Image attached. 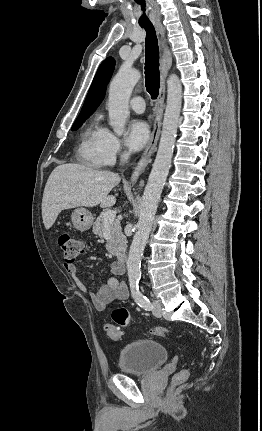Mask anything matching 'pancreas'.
Here are the masks:
<instances>
[{
  "mask_svg": "<svg viewBox=\"0 0 262 431\" xmlns=\"http://www.w3.org/2000/svg\"><path fill=\"white\" fill-rule=\"evenodd\" d=\"M107 229L110 234V238L106 244L107 250L113 254L124 251L126 249L127 242L125 236L122 233L120 222L118 220H114L113 222L107 224ZM104 232V212H102L93 225V233L99 237H103Z\"/></svg>",
  "mask_w": 262,
  "mask_h": 431,
  "instance_id": "pancreas-1",
  "label": "pancreas"
}]
</instances>
